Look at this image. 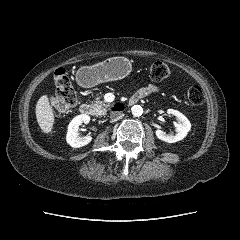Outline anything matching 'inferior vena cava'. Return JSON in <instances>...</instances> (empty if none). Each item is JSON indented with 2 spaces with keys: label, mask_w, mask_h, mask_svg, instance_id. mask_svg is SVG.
<instances>
[{
  "label": "inferior vena cava",
  "mask_w": 240,
  "mask_h": 240,
  "mask_svg": "<svg viewBox=\"0 0 240 240\" xmlns=\"http://www.w3.org/2000/svg\"><path fill=\"white\" fill-rule=\"evenodd\" d=\"M124 116V114H121V113H112L110 118L113 122L119 120V119H122Z\"/></svg>",
  "instance_id": "602c4592"
}]
</instances>
